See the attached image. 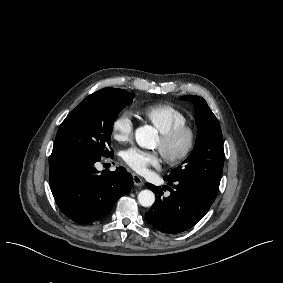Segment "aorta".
<instances>
[{"mask_svg": "<svg viewBox=\"0 0 283 283\" xmlns=\"http://www.w3.org/2000/svg\"><path fill=\"white\" fill-rule=\"evenodd\" d=\"M158 132L152 126H142L136 129L135 139L139 146L143 148H153L157 140ZM138 201L143 207H151L155 202V194L148 189L142 190L138 194Z\"/></svg>", "mask_w": 283, "mask_h": 283, "instance_id": "1", "label": "aorta"}]
</instances>
